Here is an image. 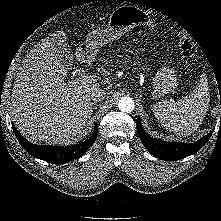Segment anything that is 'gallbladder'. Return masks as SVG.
Masks as SVG:
<instances>
[{
  "label": "gallbladder",
  "mask_w": 221,
  "mask_h": 221,
  "mask_svg": "<svg viewBox=\"0 0 221 221\" xmlns=\"http://www.w3.org/2000/svg\"><path fill=\"white\" fill-rule=\"evenodd\" d=\"M57 55L66 67H71L73 65V52L71 47L66 43L58 42Z\"/></svg>",
  "instance_id": "obj_1"
}]
</instances>
